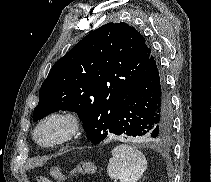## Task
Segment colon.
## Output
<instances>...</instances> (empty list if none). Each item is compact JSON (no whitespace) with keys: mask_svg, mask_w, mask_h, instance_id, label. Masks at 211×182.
Returning <instances> with one entry per match:
<instances>
[{"mask_svg":"<svg viewBox=\"0 0 211 182\" xmlns=\"http://www.w3.org/2000/svg\"><path fill=\"white\" fill-rule=\"evenodd\" d=\"M97 172L96 165L92 161L80 162L76 167L67 175L64 174L57 167H53L50 170L51 177L62 181L66 179L69 175H91ZM37 182H51L50 179L46 176H39Z\"/></svg>","mask_w":211,"mask_h":182,"instance_id":"1","label":"colon"}]
</instances>
